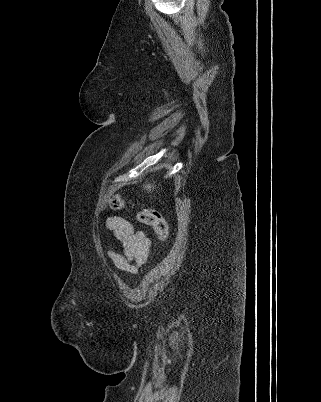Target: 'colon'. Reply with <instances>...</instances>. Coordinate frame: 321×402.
<instances>
[{"mask_svg": "<svg viewBox=\"0 0 321 402\" xmlns=\"http://www.w3.org/2000/svg\"><path fill=\"white\" fill-rule=\"evenodd\" d=\"M109 205L115 210H122L126 208L127 203L123 198L113 196L109 200ZM135 218L140 223L151 226L160 242L165 243L168 240L169 228L167 222L158 211L142 209L136 212Z\"/></svg>", "mask_w": 321, "mask_h": 402, "instance_id": "colon-1", "label": "colon"}]
</instances>
